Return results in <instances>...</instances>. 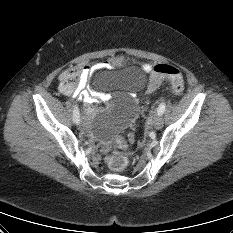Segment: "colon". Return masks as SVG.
<instances>
[{
	"mask_svg": "<svg viewBox=\"0 0 233 233\" xmlns=\"http://www.w3.org/2000/svg\"><path fill=\"white\" fill-rule=\"evenodd\" d=\"M169 79L171 83V89L175 95H181L184 91V79L178 68L168 65L159 64L154 67V71L151 74L148 84V93H153L165 79ZM60 88L63 92H72L78 85L80 74L75 68L65 70L60 75ZM116 145L119 148H125L127 146V140L120 136L116 139ZM128 165V158L122 151H115L108 159V166L111 170L120 172L124 170Z\"/></svg>",
	"mask_w": 233,
	"mask_h": 233,
	"instance_id": "colon-1",
	"label": "colon"
}]
</instances>
